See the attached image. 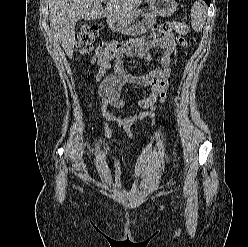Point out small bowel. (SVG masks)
<instances>
[{
	"label": "small bowel",
	"instance_id": "small-bowel-1",
	"mask_svg": "<svg viewBox=\"0 0 248 247\" xmlns=\"http://www.w3.org/2000/svg\"><path fill=\"white\" fill-rule=\"evenodd\" d=\"M183 45H185L184 39L172 34L162 38L149 36L128 41V46L124 51L112 53L100 61L95 80L101 98V116L123 128L127 136L131 137L132 125L146 117H154L156 102L166 101L171 88L168 79L172 74L178 47ZM156 48L160 49V56L152 53V50ZM130 57L147 63H155L159 60L161 68L153 69L147 74L137 75L124 63V60ZM111 68L113 72L107 75ZM129 84L150 88L148 97L135 103V107L142 111L125 117H117L108 113L106 110L108 106L118 110L128 108L121 98V93L123 88ZM104 133L107 138L111 137L112 131L107 125L104 126Z\"/></svg>",
	"mask_w": 248,
	"mask_h": 247
}]
</instances>
